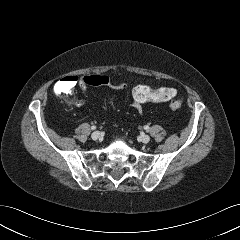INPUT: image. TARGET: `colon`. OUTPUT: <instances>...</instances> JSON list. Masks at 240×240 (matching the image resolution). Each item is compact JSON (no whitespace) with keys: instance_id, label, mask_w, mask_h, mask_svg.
<instances>
[{"instance_id":"obj_1","label":"colon","mask_w":240,"mask_h":240,"mask_svg":"<svg viewBox=\"0 0 240 240\" xmlns=\"http://www.w3.org/2000/svg\"><path fill=\"white\" fill-rule=\"evenodd\" d=\"M82 83L90 86H109L116 89L127 88L125 84L117 82L107 75H88L82 79ZM75 84L74 77H67L57 83L55 90L59 94H68ZM132 98L139 104L168 103L172 110H178L183 105V99L177 96L176 90L168 86L152 88L145 84H137L132 87Z\"/></svg>"}]
</instances>
